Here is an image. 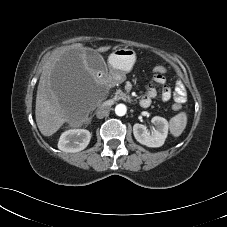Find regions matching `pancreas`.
<instances>
[{"mask_svg": "<svg viewBox=\"0 0 227 227\" xmlns=\"http://www.w3.org/2000/svg\"><path fill=\"white\" fill-rule=\"evenodd\" d=\"M114 101H117V100H129V96L124 93L122 90H117L116 93H115V96L113 98Z\"/></svg>", "mask_w": 227, "mask_h": 227, "instance_id": "cf45deb5", "label": "pancreas"}]
</instances>
